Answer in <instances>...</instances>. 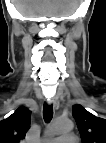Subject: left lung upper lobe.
<instances>
[{
    "label": "left lung upper lobe",
    "instance_id": "5c2ea615",
    "mask_svg": "<svg viewBox=\"0 0 106 143\" xmlns=\"http://www.w3.org/2000/svg\"><path fill=\"white\" fill-rule=\"evenodd\" d=\"M72 115L83 143H106L105 119L94 116L78 104L73 106Z\"/></svg>",
    "mask_w": 106,
    "mask_h": 143
}]
</instances>
